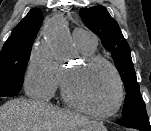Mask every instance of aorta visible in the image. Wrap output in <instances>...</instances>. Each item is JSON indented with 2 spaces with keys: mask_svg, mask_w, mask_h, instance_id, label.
Segmentation results:
<instances>
[{
  "mask_svg": "<svg viewBox=\"0 0 151 131\" xmlns=\"http://www.w3.org/2000/svg\"><path fill=\"white\" fill-rule=\"evenodd\" d=\"M45 38L52 45L58 60H69L73 57V43L69 37L63 17L54 18L49 24Z\"/></svg>",
  "mask_w": 151,
  "mask_h": 131,
  "instance_id": "obj_1",
  "label": "aorta"
}]
</instances>
